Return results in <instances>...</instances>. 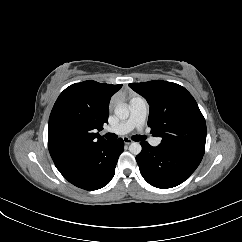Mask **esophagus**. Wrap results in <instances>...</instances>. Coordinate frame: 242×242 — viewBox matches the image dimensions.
I'll list each match as a JSON object with an SVG mask.
<instances>
[{"mask_svg": "<svg viewBox=\"0 0 242 242\" xmlns=\"http://www.w3.org/2000/svg\"><path fill=\"white\" fill-rule=\"evenodd\" d=\"M123 141H124V143H125L126 145H129V144H131V143L133 142L131 139H129V138H127V137L123 138Z\"/></svg>", "mask_w": 242, "mask_h": 242, "instance_id": "obj_1", "label": "esophagus"}]
</instances>
